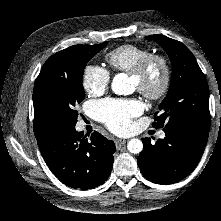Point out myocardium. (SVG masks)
<instances>
[{"label": "myocardium", "mask_w": 221, "mask_h": 221, "mask_svg": "<svg viewBox=\"0 0 221 221\" xmlns=\"http://www.w3.org/2000/svg\"><path fill=\"white\" fill-rule=\"evenodd\" d=\"M161 69V79L158 85L150 87L145 83L146 77L154 67ZM129 75L137 81V90L147 99H160L170 89L172 81L171 67L168 60L160 54L150 53L143 58L130 72Z\"/></svg>", "instance_id": "1"}]
</instances>
